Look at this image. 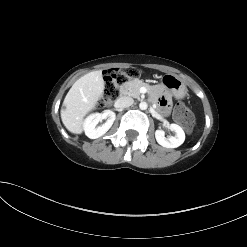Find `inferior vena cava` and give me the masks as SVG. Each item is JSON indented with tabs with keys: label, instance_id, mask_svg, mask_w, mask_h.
<instances>
[{
	"label": "inferior vena cava",
	"instance_id": "inferior-vena-cava-1",
	"mask_svg": "<svg viewBox=\"0 0 247 247\" xmlns=\"http://www.w3.org/2000/svg\"><path fill=\"white\" fill-rule=\"evenodd\" d=\"M133 103H134L133 98L129 96H122L116 100L115 105L118 108H126L131 106Z\"/></svg>",
	"mask_w": 247,
	"mask_h": 247
}]
</instances>
